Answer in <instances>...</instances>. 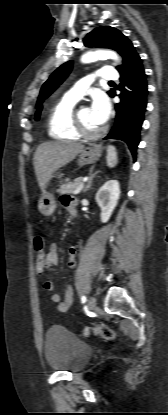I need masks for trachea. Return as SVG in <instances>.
<instances>
[{
    "label": "trachea",
    "instance_id": "3493384b",
    "mask_svg": "<svg viewBox=\"0 0 168 415\" xmlns=\"http://www.w3.org/2000/svg\"><path fill=\"white\" fill-rule=\"evenodd\" d=\"M109 83H110V84H112L113 82H112V81H110Z\"/></svg>",
    "mask_w": 168,
    "mask_h": 415
}]
</instances>
